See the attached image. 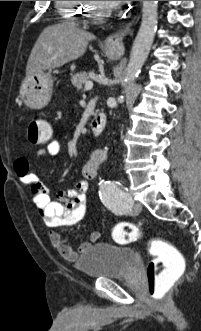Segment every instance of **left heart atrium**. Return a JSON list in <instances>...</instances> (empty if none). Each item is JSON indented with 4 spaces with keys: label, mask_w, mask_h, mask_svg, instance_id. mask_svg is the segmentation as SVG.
<instances>
[{
    "label": "left heart atrium",
    "mask_w": 201,
    "mask_h": 331,
    "mask_svg": "<svg viewBox=\"0 0 201 331\" xmlns=\"http://www.w3.org/2000/svg\"><path fill=\"white\" fill-rule=\"evenodd\" d=\"M100 2L107 6H119V5L124 4L127 1H100Z\"/></svg>",
    "instance_id": "1"
}]
</instances>
